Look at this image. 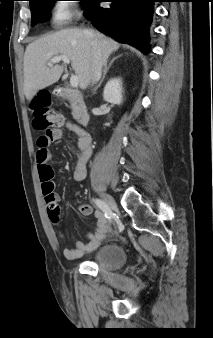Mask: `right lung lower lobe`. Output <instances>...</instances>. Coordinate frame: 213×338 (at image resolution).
<instances>
[{"mask_svg":"<svg viewBox=\"0 0 213 338\" xmlns=\"http://www.w3.org/2000/svg\"><path fill=\"white\" fill-rule=\"evenodd\" d=\"M161 0H95L85 15L103 33L147 53L154 3ZM101 2H109L107 8Z\"/></svg>","mask_w":213,"mask_h":338,"instance_id":"right-lung-lower-lobe-1","label":"right lung lower lobe"}]
</instances>
